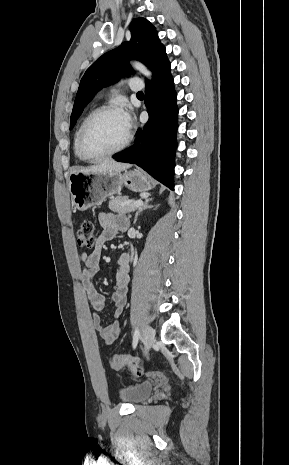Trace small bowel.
<instances>
[{
	"mask_svg": "<svg viewBox=\"0 0 289 465\" xmlns=\"http://www.w3.org/2000/svg\"><path fill=\"white\" fill-rule=\"evenodd\" d=\"M98 220L102 229L97 237L93 252H84L81 256L83 269L80 279L94 310V327L101 335L105 345H111L121 334L118 317L123 312L128 294L130 255L124 253L118 260L115 288L110 296V302L114 305V318L109 323H104L99 315L105 307L106 298L96 289L94 278L100 270L103 246L106 242L114 239L119 232L125 231L128 227V221L114 213H100Z\"/></svg>",
	"mask_w": 289,
	"mask_h": 465,
	"instance_id": "obj_1",
	"label": "small bowel"
}]
</instances>
